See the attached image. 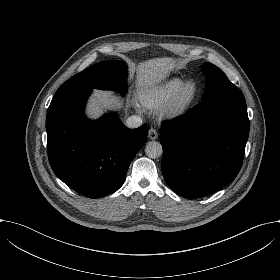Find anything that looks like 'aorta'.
Segmentation results:
<instances>
[{
	"label": "aorta",
	"instance_id": "obj_1",
	"mask_svg": "<svg viewBox=\"0 0 280 280\" xmlns=\"http://www.w3.org/2000/svg\"><path fill=\"white\" fill-rule=\"evenodd\" d=\"M162 145L157 141H150L147 143L145 153L149 158L155 159L162 155Z\"/></svg>",
	"mask_w": 280,
	"mask_h": 280
}]
</instances>
